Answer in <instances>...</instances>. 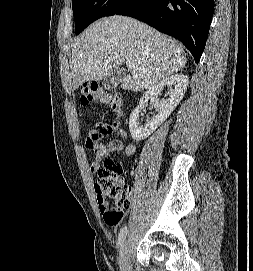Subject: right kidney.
Returning <instances> with one entry per match:
<instances>
[{
	"label": "right kidney",
	"instance_id": "1",
	"mask_svg": "<svg viewBox=\"0 0 253 271\" xmlns=\"http://www.w3.org/2000/svg\"><path fill=\"white\" fill-rule=\"evenodd\" d=\"M188 83L187 76L176 74L161 80L144 93L139 105L132 111L129 118V130L134 140L140 141L147 138L169 117L183 99ZM165 86L170 89V96L168 99H162L159 102L157 97ZM151 97L156 99L154 107L157 114L144 126H139V115L145 109L146 103Z\"/></svg>",
	"mask_w": 253,
	"mask_h": 271
}]
</instances>
